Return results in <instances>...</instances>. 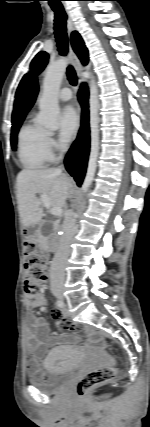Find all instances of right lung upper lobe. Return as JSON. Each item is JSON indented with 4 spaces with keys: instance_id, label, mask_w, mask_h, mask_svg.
I'll return each instance as SVG.
<instances>
[{
    "instance_id": "1",
    "label": "right lung upper lobe",
    "mask_w": 150,
    "mask_h": 427,
    "mask_svg": "<svg viewBox=\"0 0 150 427\" xmlns=\"http://www.w3.org/2000/svg\"><path fill=\"white\" fill-rule=\"evenodd\" d=\"M71 44H72L73 50L78 55L82 63L86 65L88 62V50L85 47L81 36L76 31L72 32ZM37 94H38L37 80L35 77H32L30 75L25 81V84L22 88L20 96L15 105L13 115H12V124L24 120L26 114L34 104Z\"/></svg>"
}]
</instances>
